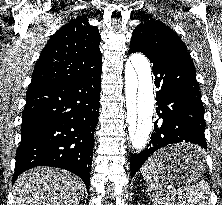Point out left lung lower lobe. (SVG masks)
<instances>
[{
    "label": "left lung lower lobe",
    "instance_id": "0a47b994",
    "mask_svg": "<svg viewBox=\"0 0 222 205\" xmlns=\"http://www.w3.org/2000/svg\"><path fill=\"white\" fill-rule=\"evenodd\" d=\"M141 52L153 64L156 92L157 120L145 151L132 154L131 177L159 148L168 144L191 142L207 149L204 136L206 127L204 107L196 80V71L189 54L174 49H152L138 42H131L129 53ZM200 150H185L170 159V163L189 166L203 161Z\"/></svg>",
    "mask_w": 222,
    "mask_h": 205
}]
</instances>
